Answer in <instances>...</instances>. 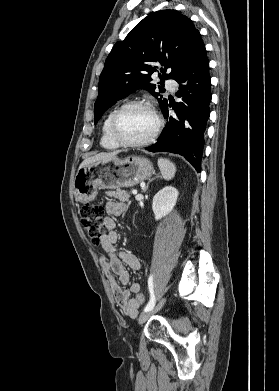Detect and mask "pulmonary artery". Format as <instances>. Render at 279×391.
<instances>
[{
	"label": "pulmonary artery",
	"instance_id": "e3ab8cb5",
	"mask_svg": "<svg viewBox=\"0 0 279 391\" xmlns=\"http://www.w3.org/2000/svg\"><path fill=\"white\" fill-rule=\"evenodd\" d=\"M167 87L171 90V91H174L176 89V82H174L173 80H168L167 81Z\"/></svg>",
	"mask_w": 279,
	"mask_h": 391
}]
</instances>
